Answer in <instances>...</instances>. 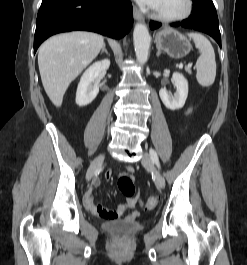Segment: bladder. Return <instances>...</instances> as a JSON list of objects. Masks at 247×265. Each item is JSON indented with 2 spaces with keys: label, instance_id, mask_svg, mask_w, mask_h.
Masks as SVG:
<instances>
[{
  "label": "bladder",
  "instance_id": "31cf9c89",
  "mask_svg": "<svg viewBox=\"0 0 247 265\" xmlns=\"http://www.w3.org/2000/svg\"><path fill=\"white\" fill-rule=\"evenodd\" d=\"M103 229L111 235L124 237L143 229V224L131 220H110L104 222Z\"/></svg>",
  "mask_w": 247,
  "mask_h": 265
}]
</instances>
